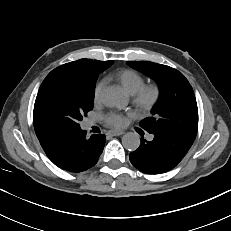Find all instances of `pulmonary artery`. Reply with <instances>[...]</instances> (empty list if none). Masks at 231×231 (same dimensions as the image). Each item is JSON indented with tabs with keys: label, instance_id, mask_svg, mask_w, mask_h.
I'll return each instance as SVG.
<instances>
[{
	"label": "pulmonary artery",
	"instance_id": "1",
	"mask_svg": "<svg viewBox=\"0 0 231 231\" xmlns=\"http://www.w3.org/2000/svg\"><path fill=\"white\" fill-rule=\"evenodd\" d=\"M92 124H93L92 121H86V122L84 123V127H85V128H89ZM148 139H149V140H152V136H149Z\"/></svg>",
	"mask_w": 231,
	"mask_h": 231
}]
</instances>
